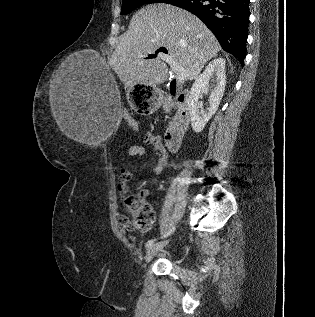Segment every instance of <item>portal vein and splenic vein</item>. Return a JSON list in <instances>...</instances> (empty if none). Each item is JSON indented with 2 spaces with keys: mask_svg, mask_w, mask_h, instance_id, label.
Wrapping results in <instances>:
<instances>
[{
  "mask_svg": "<svg viewBox=\"0 0 315 317\" xmlns=\"http://www.w3.org/2000/svg\"><path fill=\"white\" fill-rule=\"evenodd\" d=\"M164 60L171 67L172 71L176 74V79L179 83H182L186 80L188 73L178 65L173 58L164 56Z\"/></svg>",
  "mask_w": 315,
  "mask_h": 317,
  "instance_id": "obj_1",
  "label": "portal vein and splenic vein"
}]
</instances>
